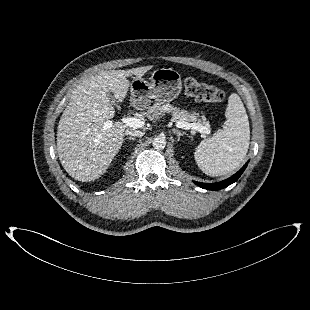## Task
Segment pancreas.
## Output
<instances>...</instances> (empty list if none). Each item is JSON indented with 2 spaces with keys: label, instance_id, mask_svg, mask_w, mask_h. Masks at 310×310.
Instances as JSON below:
<instances>
[{
  "label": "pancreas",
  "instance_id": "cf45deb5",
  "mask_svg": "<svg viewBox=\"0 0 310 310\" xmlns=\"http://www.w3.org/2000/svg\"><path fill=\"white\" fill-rule=\"evenodd\" d=\"M165 113H169L172 115V121L173 122H187V123H198L200 125L203 124V126L209 128V122L206 121V118H203L202 120L198 119V113L193 112L189 113L186 110H180L177 107H174L170 105L169 103H162V102H156L152 106H150L147 110V112L144 113V115L149 118L150 120H156L161 118L165 115Z\"/></svg>",
  "mask_w": 310,
  "mask_h": 310
}]
</instances>
